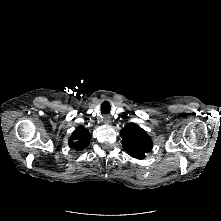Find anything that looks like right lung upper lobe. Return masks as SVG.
<instances>
[{
	"label": "right lung upper lobe",
	"instance_id": "right-lung-upper-lobe-1",
	"mask_svg": "<svg viewBox=\"0 0 221 221\" xmlns=\"http://www.w3.org/2000/svg\"><path fill=\"white\" fill-rule=\"evenodd\" d=\"M92 135L83 126H78L72 133L69 139V145L71 148L81 151L89 145Z\"/></svg>",
	"mask_w": 221,
	"mask_h": 221
}]
</instances>
